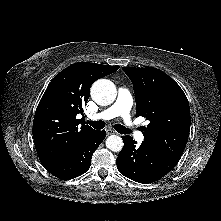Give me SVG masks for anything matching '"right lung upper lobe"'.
Masks as SVG:
<instances>
[{"label":"right lung upper lobe","instance_id":"1","mask_svg":"<svg viewBox=\"0 0 221 221\" xmlns=\"http://www.w3.org/2000/svg\"><path fill=\"white\" fill-rule=\"evenodd\" d=\"M118 69L119 66L77 62L52 79L33 122L35 147L44 166L68 154L94 131L76 116L83 113L91 85Z\"/></svg>","mask_w":221,"mask_h":221}]
</instances>
